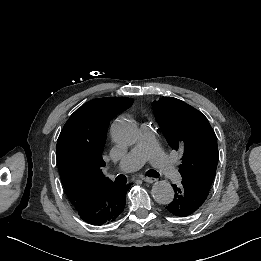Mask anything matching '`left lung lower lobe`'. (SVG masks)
Instances as JSON below:
<instances>
[{
    "mask_svg": "<svg viewBox=\"0 0 261 261\" xmlns=\"http://www.w3.org/2000/svg\"><path fill=\"white\" fill-rule=\"evenodd\" d=\"M175 190L174 200L166 207L175 216L185 217L194 213L200 208L207 198L209 189L187 179L182 180V185Z\"/></svg>",
    "mask_w": 261,
    "mask_h": 261,
    "instance_id": "obj_1",
    "label": "left lung lower lobe"
}]
</instances>
